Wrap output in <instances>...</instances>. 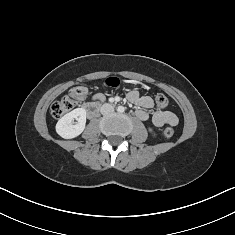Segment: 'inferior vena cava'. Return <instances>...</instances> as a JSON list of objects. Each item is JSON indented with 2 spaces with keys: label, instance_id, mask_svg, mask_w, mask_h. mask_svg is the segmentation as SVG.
I'll use <instances>...</instances> for the list:
<instances>
[{
  "label": "inferior vena cava",
  "instance_id": "602c4592",
  "mask_svg": "<svg viewBox=\"0 0 235 235\" xmlns=\"http://www.w3.org/2000/svg\"><path fill=\"white\" fill-rule=\"evenodd\" d=\"M100 112L102 115H108L112 112H114V107L111 104H104L102 105Z\"/></svg>",
  "mask_w": 235,
  "mask_h": 235
}]
</instances>
